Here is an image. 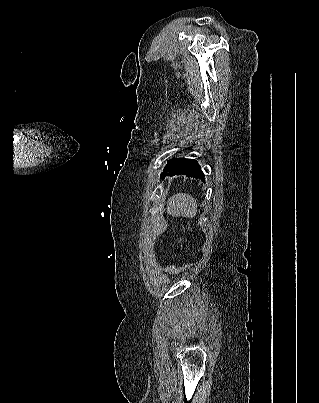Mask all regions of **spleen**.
I'll return each mask as SVG.
<instances>
[{
	"instance_id": "1",
	"label": "spleen",
	"mask_w": 319,
	"mask_h": 403,
	"mask_svg": "<svg viewBox=\"0 0 319 403\" xmlns=\"http://www.w3.org/2000/svg\"><path fill=\"white\" fill-rule=\"evenodd\" d=\"M198 203L195 198L186 193H177L169 198L167 213L172 217L193 218L198 211Z\"/></svg>"
}]
</instances>
